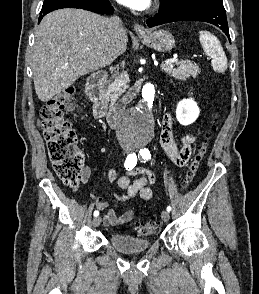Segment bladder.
I'll use <instances>...</instances> for the list:
<instances>
[{
    "instance_id": "31cf9c89",
    "label": "bladder",
    "mask_w": 259,
    "mask_h": 294,
    "mask_svg": "<svg viewBox=\"0 0 259 294\" xmlns=\"http://www.w3.org/2000/svg\"><path fill=\"white\" fill-rule=\"evenodd\" d=\"M109 242L115 249L124 253L143 252L150 247L149 240L134 238L122 233L112 234Z\"/></svg>"
}]
</instances>
